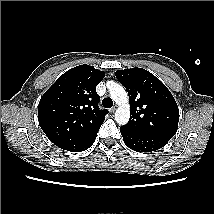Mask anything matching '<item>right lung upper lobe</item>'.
Returning <instances> with one entry per match:
<instances>
[{
	"label": "right lung upper lobe",
	"mask_w": 214,
	"mask_h": 214,
	"mask_svg": "<svg viewBox=\"0 0 214 214\" xmlns=\"http://www.w3.org/2000/svg\"><path fill=\"white\" fill-rule=\"evenodd\" d=\"M105 72L79 65L61 75L44 93L38 121L49 140L63 150L77 152L94 139L107 110H100L95 87Z\"/></svg>",
	"instance_id": "1"
}]
</instances>
